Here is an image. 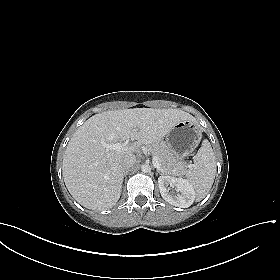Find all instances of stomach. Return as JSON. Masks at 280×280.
I'll return each mask as SVG.
<instances>
[{"mask_svg":"<svg viewBox=\"0 0 280 280\" xmlns=\"http://www.w3.org/2000/svg\"><path fill=\"white\" fill-rule=\"evenodd\" d=\"M202 138L200 128L190 120L177 123L166 135V143L177 157L192 153Z\"/></svg>","mask_w":280,"mask_h":280,"instance_id":"1","label":"stomach"}]
</instances>
